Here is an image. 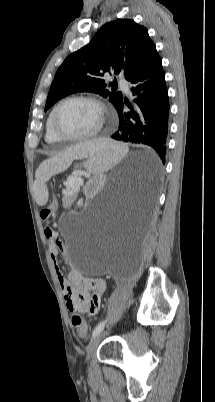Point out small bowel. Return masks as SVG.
Instances as JSON below:
<instances>
[{"label": "small bowel", "instance_id": "c3829d8e", "mask_svg": "<svg viewBox=\"0 0 215 402\" xmlns=\"http://www.w3.org/2000/svg\"><path fill=\"white\" fill-rule=\"evenodd\" d=\"M63 203L68 205L67 200ZM44 234L48 241L49 253L56 269L67 309L71 312L97 314L106 289L105 281L101 278L85 277L75 269L65 277L58 266V255L65 254V245L58 232L52 227H46ZM91 306L95 307L94 312H90Z\"/></svg>", "mask_w": 215, "mask_h": 402}]
</instances>
